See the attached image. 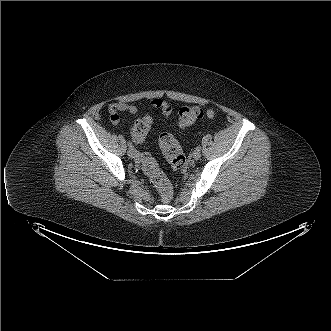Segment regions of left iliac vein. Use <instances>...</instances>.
Returning a JSON list of instances; mask_svg holds the SVG:
<instances>
[{
	"mask_svg": "<svg viewBox=\"0 0 331 331\" xmlns=\"http://www.w3.org/2000/svg\"><path fill=\"white\" fill-rule=\"evenodd\" d=\"M192 156L195 160H198L201 157V152L199 150H194Z\"/></svg>",
	"mask_w": 331,
	"mask_h": 331,
	"instance_id": "4c4485c4",
	"label": "left iliac vein"
}]
</instances>
